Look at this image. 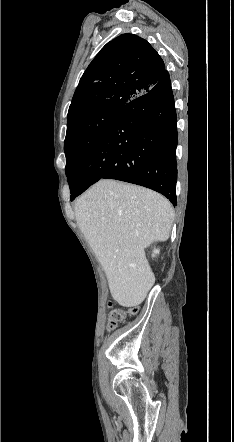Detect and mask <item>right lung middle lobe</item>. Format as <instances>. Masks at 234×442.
I'll use <instances>...</instances> for the list:
<instances>
[{"mask_svg":"<svg viewBox=\"0 0 234 442\" xmlns=\"http://www.w3.org/2000/svg\"><path fill=\"white\" fill-rule=\"evenodd\" d=\"M120 111L108 108L82 116L67 124L64 143L66 154V176L71 183V172L85 154L100 140Z\"/></svg>","mask_w":234,"mask_h":442,"instance_id":"obj_1","label":"right lung middle lobe"}]
</instances>
